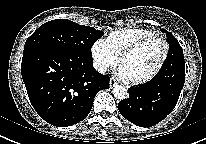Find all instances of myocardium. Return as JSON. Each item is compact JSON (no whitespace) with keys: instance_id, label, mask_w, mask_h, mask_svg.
Masks as SVG:
<instances>
[{"instance_id":"f54148a6","label":"myocardium","mask_w":206,"mask_h":144,"mask_svg":"<svg viewBox=\"0 0 206 144\" xmlns=\"http://www.w3.org/2000/svg\"><path fill=\"white\" fill-rule=\"evenodd\" d=\"M152 40H160L163 44V55L161 57L160 62L158 63V65L156 66V68L147 76L140 78V79H130L131 83L134 85H143L146 83L151 82L152 80H154L162 71L168 56H169V51H170V45L169 42L167 41V39L161 35L158 34H153L150 36H147L133 44H131L130 46L126 47L119 55L118 57V62L121 65L122 61L128 57L129 55L137 52L138 50H140L143 46H145L147 43H149Z\"/></svg>"}]
</instances>
